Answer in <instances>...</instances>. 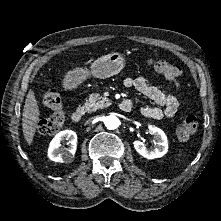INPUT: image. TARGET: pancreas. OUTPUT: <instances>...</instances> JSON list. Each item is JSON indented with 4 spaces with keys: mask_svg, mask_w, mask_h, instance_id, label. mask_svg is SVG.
I'll use <instances>...</instances> for the list:
<instances>
[{
    "mask_svg": "<svg viewBox=\"0 0 221 221\" xmlns=\"http://www.w3.org/2000/svg\"><path fill=\"white\" fill-rule=\"evenodd\" d=\"M110 105V101L106 97H102L97 93L89 95V98L84 104V108L87 112L96 111L98 109L107 107Z\"/></svg>",
    "mask_w": 221,
    "mask_h": 221,
    "instance_id": "pancreas-1",
    "label": "pancreas"
}]
</instances>
